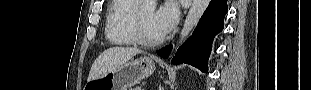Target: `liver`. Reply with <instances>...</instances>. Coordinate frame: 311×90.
I'll return each mask as SVG.
<instances>
[{
    "label": "liver",
    "instance_id": "1",
    "mask_svg": "<svg viewBox=\"0 0 311 90\" xmlns=\"http://www.w3.org/2000/svg\"><path fill=\"white\" fill-rule=\"evenodd\" d=\"M140 53H143V51L134 47H112L105 50L92 64L87 81L102 77Z\"/></svg>",
    "mask_w": 311,
    "mask_h": 90
}]
</instances>
